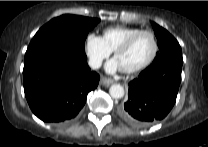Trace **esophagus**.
Returning <instances> with one entry per match:
<instances>
[{"mask_svg":"<svg viewBox=\"0 0 208 147\" xmlns=\"http://www.w3.org/2000/svg\"><path fill=\"white\" fill-rule=\"evenodd\" d=\"M113 83H114V81L112 79H109V78H106V77L101 78V84L105 87H108Z\"/></svg>","mask_w":208,"mask_h":147,"instance_id":"1","label":"esophagus"}]
</instances>
